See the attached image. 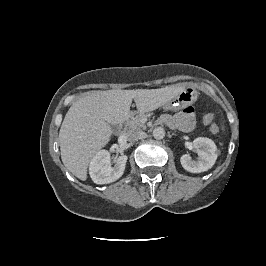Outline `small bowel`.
I'll use <instances>...</instances> for the list:
<instances>
[{"instance_id": "1", "label": "small bowel", "mask_w": 266, "mask_h": 266, "mask_svg": "<svg viewBox=\"0 0 266 266\" xmlns=\"http://www.w3.org/2000/svg\"><path fill=\"white\" fill-rule=\"evenodd\" d=\"M161 122L172 128H177L182 131H190L195 126L194 109L188 107L173 115L165 114L161 117Z\"/></svg>"}]
</instances>
